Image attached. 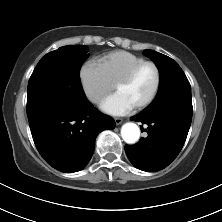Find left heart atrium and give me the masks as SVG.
I'll use <instances>...</instances> for the list:
<instances>
[{
    "instance_id": "39dd6f15",
    "label": "left heart atrium",
    "mask_w": 222,
    "mask_h": 222,
    "mask_svg": "<svg viewBox=\"0 0 222 222\" xmlns=\"http://www.w3.org/2000/svg\"><path fill=\"white\" fill-rule=\"evenodd\" d=\"M100 108L103 112L113 116H123L130 113L135 107L122 94L116 92L100 103Z\"/></svg>"
}]
</instances>
